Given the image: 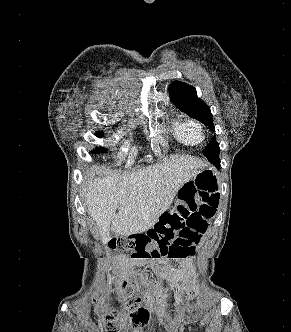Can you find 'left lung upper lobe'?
<instances>
[{"label":"left lung upper lobe","instance_id":"1","mask_svg":"<svg viewBox=\"0 0 291 332\" xmlns=\"http://www.w3.org/2000/svg\"><path fill=\"white\" fill-rule=\"evenodd\" d=\"M171 100L177 105L181 111L197 120H200L206 126L215 131L213 118L210 107L206 105L200 98L197 97L196 89L183 82L174 81L169 87ZM220 148L213 137L208 147L203 150V154L212 162L219 159Z\"/></svg>","mask_w":291,"mask_h":332}]
</instances>
